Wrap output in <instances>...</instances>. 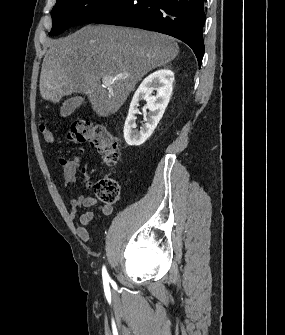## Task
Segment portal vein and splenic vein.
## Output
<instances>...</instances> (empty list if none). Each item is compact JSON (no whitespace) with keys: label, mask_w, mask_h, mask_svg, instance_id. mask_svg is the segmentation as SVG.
Here are the masks:
<instances>
[{"label":"portal vein and splenic vein","mask_w":285,"mask_h":335,"mask_svg":"<svg viewBox=\"0 0 285 335\" xmlns=\"http://www.w3.org/2000/svg\"><path fill=\"white\" fill-rule=\"evenodd\" d=\"M122 78H129L128 74H117V76H103L102 84H112L115 80H122Z\"/></svg>","instance_id":"portal-vein-and-splenic-vein-1"}]
</instances>
